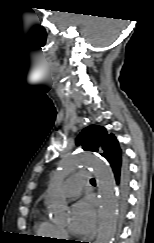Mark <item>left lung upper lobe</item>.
<instances>
[{
	"instance_id": "left-lung-upper-lobe-1",
	"label": "left lung upper lobe",
	"mask_w": 154,
	"mask_h": 243,
	"mask_svg": "<svg viewBox=\"0 0 154 243\" xmlns=\"http://www.w3.org/2000/svg\"><path fill=\"white\" fill-rule=\"evenodd\" d=\"M77 145L87 151L98 152L105 157L111 165L112 161L122 162L121 149L113 134H108L104 127L91 125L85 128L76 140Z\"/></svg>"
}]
</instances>
